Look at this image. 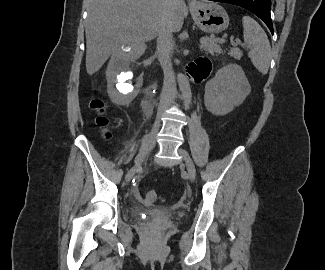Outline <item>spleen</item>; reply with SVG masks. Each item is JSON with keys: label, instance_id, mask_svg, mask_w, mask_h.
Listing matches in <instances>:
<instances>
[{"label": "spleen", "instance_id": "3e777b00", "mask_svg": "<svg viewBox=\"0 0 325 270\" xmlns=\"http://www.w3.org/2000/svg\"><path fill=\"white\" fill-rule=\"evenodd\" d=\"M242 22L244 42L250 48L248 56L256 69L265 75L268 72L271 60V46L268 37L263 28L252 17L244 16Z\"/></svg>", "mask_w": 325, "mask_h": 270}]
</instances>
